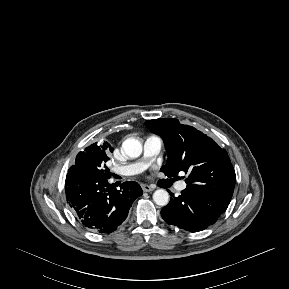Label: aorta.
Returning a JSON list of instances; mask_svg holds the SVG:
<instances>
[{
	"mask_svg": "<svg viewBox=\"0 0 289 289\" xmlns=\"http://www.w3.org/2000/svg\"><path fill=\"white\" fill-rule=\"evenodd\" d=\"M123 152L130 158L139 157L142 153V144L134 138H127L122 144ZM153 200L159 206H166L169 202V194L164 189H158L153 193Z\"/></svg>",
	"mask_w": 289,
	"mask_h": 289,
	"instance_id": "762f6f07",
	"label": "aorta"
}]
</instances>
